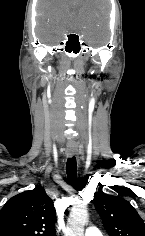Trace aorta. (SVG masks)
Returning a JSON list of instances; mask_svg holds the SVG:
<instances>
[{
  "label": "aorta",
  "mask_w": 145,
  "mask_h": 236,
  "mask_svg": "<svg viewBox=\"0 0 145 236\" xmlns=\"http://www.w3.org/2000/svg\"><path fill=\"white\" fill-rule=\"evenodd\" d=\"M88 219L85 203H78L71 208L65 236H84V225Z\"/></svg>",
  "instance_id": "obj_1"
}]
</instances>
